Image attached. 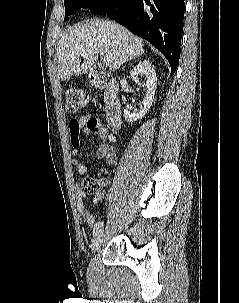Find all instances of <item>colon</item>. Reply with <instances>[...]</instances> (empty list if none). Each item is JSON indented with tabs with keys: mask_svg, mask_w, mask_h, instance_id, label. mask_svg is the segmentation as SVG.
<instances>
[{
	"mask_svg": "<svg viewBox=\"0 0 239 303\" xmlns=\"http://www.w3.org/2000/svg\"><path fill=\"white\" fill-rule=\"evenodd\" d=\"M66 110L70 114H76L88 106V96L80 89L69 87L65 91ZM84 186L86 191L95 195L96 201L102 197L100 184L93 179H85Z\"/></svg>",
	"mask_w": 239,
	"mask_h": 303,
	"instance_id": "5ec220e1",
	"label": "colon"
}]
</instances>
